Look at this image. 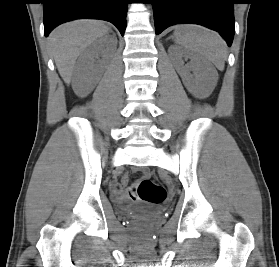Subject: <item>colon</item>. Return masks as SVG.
<instances>
[{"label":"colon","mask_w":279,"mask_h":267,"mask_svg":"<svg viewBox=\"0 0 279 267\" xmlns=\"http://www.w3.org/2000/svg\"><path fill=\"white\" fill-rule=\"evenodd\" d=\"M138 196L136 198L149 203L159 204L166 199V190L163 186L149 179L146 173H143L136 185Z\"/></svg>","instance_id":"1"}]
</instances>
